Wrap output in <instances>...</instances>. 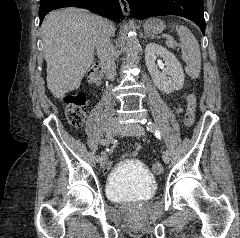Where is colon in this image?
I'll return each instance as SVG.
<instances>
[{"label": "colon", "instance_id": "colon-1", "mask_svg": "<svg viewBox=\"0 0 240 238\" xmlns=\"http://www.w3.org/2000/svg\"><path fill=\"white\" fill-rule=\"evenodd\" d=\"M89 80L93 83H99L101 80L100 68H92L88 74ZM87 98L83 91L75 90L66 98V118L74 128H81L86 117ZM196 97L193 94L187 96V110L185 113V124L191 126L195 120ZM155 174L160 175L164 171V167L160 162H156L152 166Z\"/></svg>", "mask_w": 240, "mask_h": 238}]
</instances>
